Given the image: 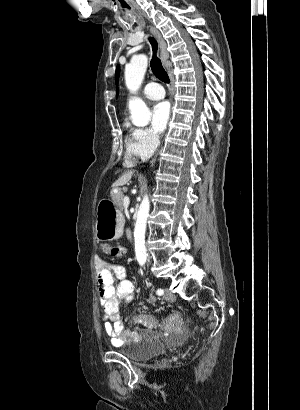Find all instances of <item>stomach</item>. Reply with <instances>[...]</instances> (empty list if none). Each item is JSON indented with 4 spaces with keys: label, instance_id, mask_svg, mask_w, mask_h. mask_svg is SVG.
I'll return each instance as SVG.
<instances>
[{
    "label": "stomach",
    "instance_id": "stomach-1",
    "mask_svg": "<svg viewBox=\"0 0 300 410\" xmlns=\"http://www.w3.org/2000/svg\"><path fill=\"white\" fill-rule=\"evenodd\" d=\"M124 217L114 201L101 200L96 213V237L99 241H112L123 234Z\"/></svg>",
    "mask_w": 300,
    "mask_h": 410
}]
</instances>
